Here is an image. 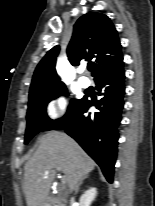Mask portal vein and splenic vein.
Returning a JSON list of instances; mask_svg holds the SVG:
<instances>
[{
	"label": "portal vein and splenic vein",
	"instance_id": "1",
	"mask_svg": "<svg viewBox=\"0 0 155 206\" xmlns=\"http://www.w3.org/2000/svg\"><path fill=\"white\" fill-rule=\"evenodd\" d=\"M61 182H62V184H66V179H65V177H61Z\"/></svg>",
	"mask_w": 155,
	"mask_h": 206
}]
</instances>
